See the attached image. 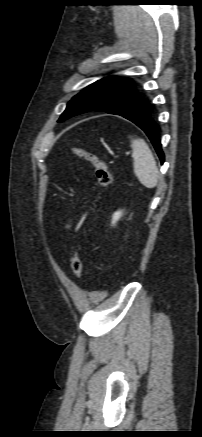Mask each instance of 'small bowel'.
Returning a JSON list of instances; mask_svg holds the SVG:
<instances>
[{
  "instance_id": "small-bowel-1",
  "label": "small bowel",
  "mask_w": 202,
  "mask_h": 437,
  "mask_svg": "<svg viewBox=\"0 0 202 437\" xmlns=\"http://www.w3.org/2000/svg\"><path fill=\"white\" fill-rule=\"evenodd\" d=\"M71 227L70 222L65 226V229H69Z\"/></svg>"
}]
</instances>
